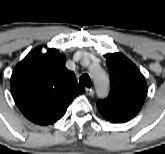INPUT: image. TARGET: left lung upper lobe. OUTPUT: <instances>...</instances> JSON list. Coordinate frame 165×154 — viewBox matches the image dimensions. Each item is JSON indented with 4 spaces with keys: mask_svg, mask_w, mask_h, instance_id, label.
<instances>
[{
    "mask_svg": "<svg viewBox=\"0 0 165 154\" xmlns=\"http://www.w3.org/2000/svg\"><path fill=\"white\" fill-rule=\"evenodd\" d=\"M105 58L110 73V93L97 102V107L106 120L126 122L142 108L147 84L140 70L124 55L108 53Z\"/></svg>",
    "mask_w": 165,
    "mask_h": 154,
    "instance_id": "left-lung-upper-lobe-1",
    "label": "left lung upper lobe"
}]
</instances>
